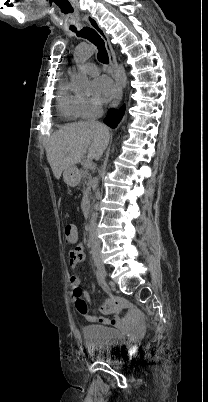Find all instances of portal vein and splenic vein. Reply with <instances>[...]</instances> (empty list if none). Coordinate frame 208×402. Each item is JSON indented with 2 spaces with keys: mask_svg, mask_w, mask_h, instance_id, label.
Wrapping results in <instances>:
<instances>
[{
  "mask_svg": "<svg viewBox=\"0 0 208 402\" xmlns=\"http://www.w3.org/2000/svg\"><path fill=\"white\" fill-rule=\"evenodd\" d=\"M83 168L84 170H89V168H92V160H84Z\"/></svg>",
  "mask_w": 208,
  "mask_h": 402,
  "instance_id": "obj_1",
  "label": "portal vein and splenic vein"
}]
</instances>
